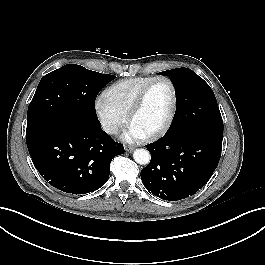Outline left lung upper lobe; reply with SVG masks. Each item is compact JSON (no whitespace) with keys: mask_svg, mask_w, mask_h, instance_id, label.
<instances>
[{"mask_svg":"<svg viewBox=\"0 0 265 265\" xmlns=\"http://www.w3.org/2000/svg\"><path fill=\"white\" fill-rule=\"evenodd\" d=\"M170 77L177 89L178 106L168 131L202 128L223 134V120L216 97L210 86L188 68L160 72Z\"/></svg>","mask_w":265,"mask_h":265,"instance_id":"obj_1","label":"left lung upper lobe"}]
</instances>
